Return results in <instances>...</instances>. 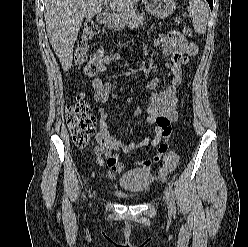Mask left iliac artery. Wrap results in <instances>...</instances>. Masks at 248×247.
<instances>
[{"label": "left iliac artery", "instance_id": "left-iliac-artery-1", "mask_svg": "<svg viewBox=\"0 0 248 247\" xmlns=\"http://www.w3.org/2000/svg\"><path fill=\"white\" fill-rule=\"evenodd\" d=\"M168 185H169V189H170L171 211H172V213H176L175 195H174V192L172 190L171 182H169Z\"/></svg>", "mask_w": 248, "mask_h": 247}]
</instances>
